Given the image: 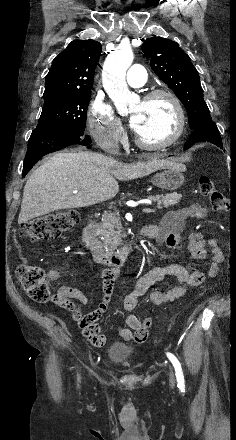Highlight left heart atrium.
I'll return each mask as SVG.
<instances>
[{"mask_svg": "<svg viewBox=\"0 0 236 440\" xmlns=\"http://www.w3.org/2000/svg\"><path fill=\"white\" fill-rule=\"evenodd\" d=\"M140 121H141L140 113H133V115L130 118V126L134 131H136Z\"/></svg>", "mask_w": 236, "mask_h": 440, "instance_id": "39dd6f15", "label": "left heart atrium"}]
</instances>
